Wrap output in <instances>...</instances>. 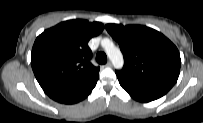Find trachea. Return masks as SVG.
I'll list each match as a JSON object with an SVG mask.
<instances>
[{"label":"trachea","instance_id":"3493384b","mask_svg":"<svg viewBox=\"0 0 203 123\" xmlns=\"http://www.w3.org/2000/svg\"><path fill=\"white\" fill-rule=\"evenodd\" d=\"M96 61L99 64H105L107 62V56H106V54L104 52L97 53V55H96Z\"/></svg>","mask_w":203,"mask_h":123}]
</instances>
